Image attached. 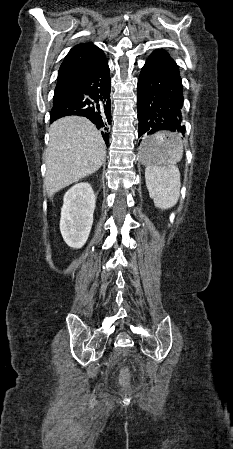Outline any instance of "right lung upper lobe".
<instances>
[{"mask_svg":"<svg viewBox=\"0 0 233 449\" xmlns=\"http://www.w3.org/2000/svg\"><path fill=\"white\" fill-rule=\"evenodd\" d=\"M106 61L102 49L89 43L74 46L66 55L58 72L55 90L81 79Z\"/></svg>","mask_w":233,"mask_h":449,"instance_id":"cb5924a9","label":"right lung upper lobe"}]
</instances>
